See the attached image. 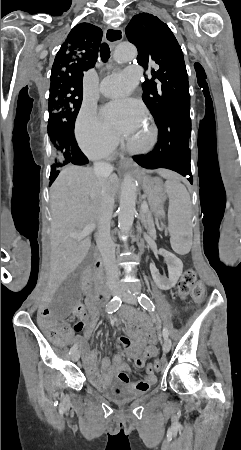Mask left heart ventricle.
<instances>
[{
	"label": "left heart ventricle",
	"mask_w": 241,
	"mask_h": 450,
	"mask_svg": "<svg viewBox=\"0 0 241 450\" xmlns=\"http://www.w3.org/2000/svg\"><path fill=\"white\" fill-rule=\"evenodd\" d=\"M148 137V128L146 124H138L132 127L129 135L127 136L128 147L130 150L141 152L143 147V140Z\"/></svg>",
	"instance_id": "obj_1"
}]
</instances>
